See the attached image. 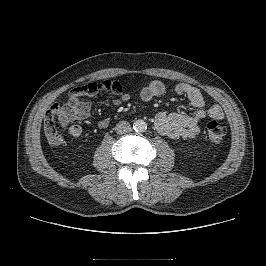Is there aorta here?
<instances>
[{"label":"aorta","mask_w":266,"mask_h":266,"mask_svg":"<svg viewBox=\"0 0 266 266\" xmlns=\"http://www.w3.org/2000/svg\"><path fill=\"white\" fill-rule=\"evenodd\" d=\"M133 129L136 132H144L147 129V124L144 120H137L133 123Z\"/></svg>","instance_id":"obj_1"}]
</instances>
